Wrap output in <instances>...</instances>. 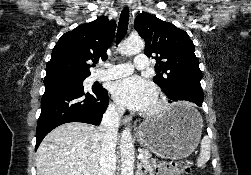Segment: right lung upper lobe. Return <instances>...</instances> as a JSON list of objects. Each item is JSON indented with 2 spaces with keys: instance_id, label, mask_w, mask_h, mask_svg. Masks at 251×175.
I'll return each mask as SVG.
<instances>
[{
  "instance_id": "obj_1",
  "label": "right lung upper lobe",
  "mask_w": 251,
  "mask_h": 175,
  "mask_svg": "<svg viewBox=\"0 0 251 175\" xmlns=\"http://www.w3.org/2000/svg\"><path fill=\"white\" fill-rule=\"evenodd\" d=\"M115 29L114 21L101 16L63 34L47 63L45 80L88 77L92 61L107 59Z\"/></svg>"
}]
</instances>
